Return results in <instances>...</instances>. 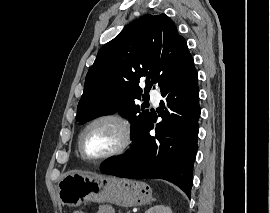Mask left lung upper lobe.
<instances>
[{"label": "left lung upper lobe", "mask_w": 270, "mask_h": 213, "mask_svg": "<svg viewBox=\"0 0 270 213\" xmlns=\"http://www.w3.org/2000/svg\"><path fill=\"white\" fill-rule=\"evenodd\" d=\"M194 64L185 39L165 14H146L99 50L77 106L80 124L118 111L132 122V134L149 120L135 100L156 83L161 90ZM146 78L145 94L138 86Z\"/></svg>", "instance_id": "left-lung-upper-lobe-1"}]
</instances>
